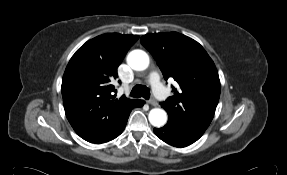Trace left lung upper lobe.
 Returning a JSON list of instances; mask_svg holds the SVG:
<instances>
[{
    "mask_svg": "<svg viewBox=\"0 0 287 175\" xmlns=\"http://www.w3.org/2000/svg\"><path fill=\"white\" fill-rule=\"evenodd\" d=\"M141 43L153 55L165 80L178 84L161 106L168 120L201 137L211 123L221 85L214 62L195 40L177 32L146 34Z\"/></svg>",
    "mask_w": 287,
    "mask_h": 175,
    "instance_id": "5c2ea615",
    "label": "left lung upper lobe"
}]
</instances>
